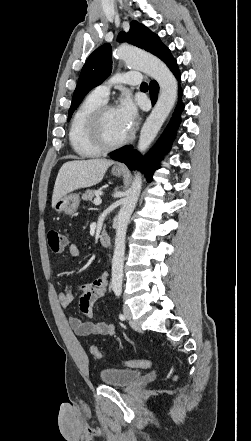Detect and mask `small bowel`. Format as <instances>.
Wrapping results in <instances>:
<instances>
[{
  "mask_svg": "<svg viewBox=\"0 0 251 441\" xmlns=\"http://www.w3.org/2000/svg\"><path fill=\"white\" fill-rule=\"evenodd\" d=\"M69 253L72 257H78L80 255L79 247L76 244H71L69 246ZM108 282L109 278L107 273H102L94 282L81 284L77 287L79 308L88 318H92L94 315L93 306L95 302L106 294ZM73 299L74 289L71 286L65 287L64 291L58 294V301L64 308L69 307ZM69 324L73 331L79 336H110L115 334L114 325L106 321H82L77 316H70Z\"/></svg>",
  "mask_w": 251,
  "mask_h": 441,
  "instance_id": "obj_1",
  "label": "small bowel"
}]
</instances>
